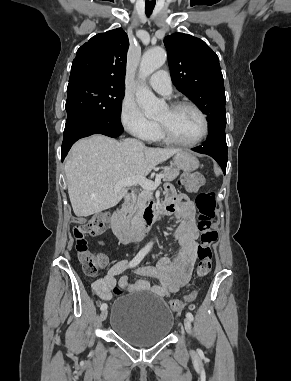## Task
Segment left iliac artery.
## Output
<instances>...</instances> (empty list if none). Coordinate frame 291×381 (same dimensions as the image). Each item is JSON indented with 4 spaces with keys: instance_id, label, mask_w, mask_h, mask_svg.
<instances>
[{
    "instance_id": "obj_1",
    "label": "left iliac artery",
    "mask_w": 291,
    "mask_h": 381,
    "mask_svg": "<svg viewBox=\"0 0 291 381\" xmlns=\"http://www.w3.org/2000/svg\"><path fill=\"white\" fill-rule=\"evenodd\" d=\"M186 317H187L190 321H193V320H194L193 314H192L191 312H187Z\"/></svg>"
}]
</instances>
